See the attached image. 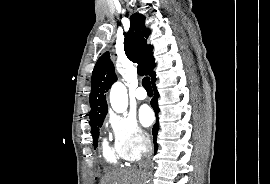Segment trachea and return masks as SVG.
<instances>
[{
  "label": "trachea",
  "mask_w": 270,
  "mask_h": 184,
  "mask_svg": "<svg viewBox=\"0 0 270 184\" xmlns=\"http://www.w3.org/2000/svg\"><path fill=\"white\" fill-rule=\"evenodd\" d=\"M142 85L146 89V91H152V86H151V82H150L149 77H144L143 78Z\"/></svg>",
  "instance_id": "trachea-1"
}]
</instances>
